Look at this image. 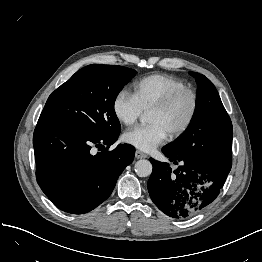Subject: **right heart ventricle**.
<instances>
[{
  "mask_svg": "<svg viewBox=\"0 0 262 262\" xmlns=\"http://www.w3.org/2000/svg\"><path fill=\"white\" fill-rule=\"evenodd\" d=\"M185 87L178 77L169 74H153L139 80L134 85V96L143 111L161 100L170 92Z\"/></svg>",
  "mask_w": 262,
  "mask_h": 262,
  "instance_id": "right-heart-ventricle-1",
  "label": "right heart ventricle"
}]
</instances>
